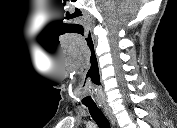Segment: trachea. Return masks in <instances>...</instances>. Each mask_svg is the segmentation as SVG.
I'll return each mask as SVG.
<instances>
[{
  "mask_svg": "<svg viewBox=\"0 0 177 128\" xmlns=\"http://www.w3.org/2000/svg\"><path fill=\"white\" fill-rule=\"evenodd\" d=\"M99 128H111L108 119L97 106H87Z\"/></svg>",
  "mask_w": 177,
  "mask_h": 128,
  "instance_id": "1",
  "label": "trachea"
}]
</instances>
